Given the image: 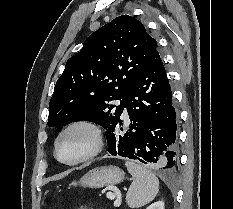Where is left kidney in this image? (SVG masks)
Wrapping results in <instances>:
<instances>
[{
	"label": "left kidney",
	"mask_w": 233,
	"mask_h": 209,
	"mask_svg": "<svg viewBox=\"0 0 233 209\" xmlns=\"http://www.w3.org/2000/svg\"><path fill=\"white\" fill-rule=\"evenodd\" d=\"M146 209H165L164 202L162 201L154 202L153 204L148 206Z\"/></svg>",
	"instance_id": "1"
}]
</instances>
